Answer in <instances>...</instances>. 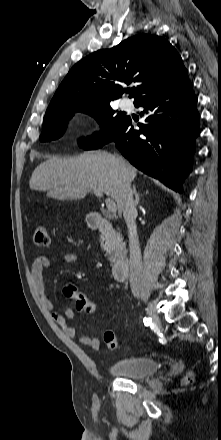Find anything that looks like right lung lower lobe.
<instances>
[{"label":"right lung lower lobe","mask_w":221,"mask_h":440,"mask_svg":"<svg viewBox=\"0 0 221 440\" xmlns=\"http://www.w3.org/2000/svg\"><path fill=\"white\" fill-rule=\"evenodd\" d=\"M197 97L188 79L148 96L135 106L144 107L145 124L135 130L127 118L108 141H114L131 164L175 191L191 170L195 139L200 134Z\"/></svg>","instance_id":"obj_1"}]
</instances>
